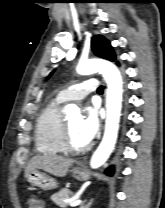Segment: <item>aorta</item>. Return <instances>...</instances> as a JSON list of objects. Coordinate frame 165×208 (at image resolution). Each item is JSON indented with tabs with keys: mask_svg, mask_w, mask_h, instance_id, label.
<instances>
[{
	"mask_svg": "<svg viewBox=\"0 0 165 208\" xmlns=\"http://www.w3.org/2000/svg\"><path fill=\"white\" fill-rule=\"evenodd\" d=\"M80 75H89L99 72L107 83L106 108L107 118L105 133L99 147L92 155L90 166L97 169L109 158L114 149L119 129L120 113L122 107V78L117 67L103 59H90L80 62L77 66ZM68 116L79 113V108L74 104L66 106Z\"/></svg>",
	"mask_w": 165,
	"mask_h": 208,
	"instance_id": "762f6f07",
	"label": "aorta"
}]
</instances>
